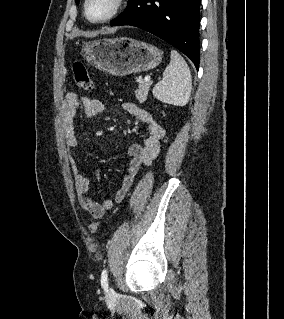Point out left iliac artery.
<instances>
[{
  "label": "left iliac artery",
  "mask_w": 284,
  "mask_h": 319,
  "mask_svg": "<svg viewBox=\"0 0 284 319\" xmlns=\"http://www.w3.org/2000/svg\"><path fill=\"white\" fill-rule=\"evenodd\" d=\"M101 285L104 290L108 289V276H107V270L104 269L101 273Z\"/></svg>",
  "instance_id": "obj_1"
}]
</instances>
